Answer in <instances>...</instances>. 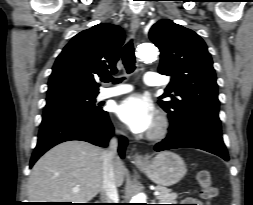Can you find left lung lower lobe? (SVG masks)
<instances>
[{
	"label": "left lung lower lobe",
	"mask_w": 253,
	"mask_h": 205,
	"mask_svg": "<svg viewBox=\"0 0 253 205\" xmlns=\"http://www.w3.org/2000/svg\"><path fill=\"white\" fill-rule=\"evenodd\" d=\"M176 148H197L213 153L228 161L218 115L201 113L186 123H171L167 137L155 145V151Z\"/></svg>",
	"instance_id": "0a47b994"
}]
</instances>
